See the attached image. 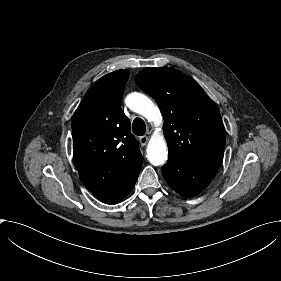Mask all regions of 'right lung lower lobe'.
Segmentation results:
<instances>
[{
    "label": "right lung lower lobe",
    "mask_w": 281,
    "mask_h": 281,
    "mask_svg": "<svg viewBox=\"0 0 281 281\" xmlns=\"http://www.w3.org/2000/svg\"><path fill=\"white\" fill-rule=\"evenodd\" d=\"M142 165V157L139 158L130 169L111 188L96 195L106 204H117L121 202L133 189Z\"/></svg>",
    "instance_id": "98d812e1"
}]
</instances>
